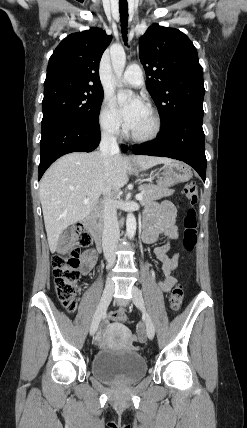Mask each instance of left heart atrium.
Returning a JSON list of instances; mask_svg holds the SVG:
<instances>
[{"mask_svg": "<svg viewBox=\"0 0 247 428\" xmlns=\"http://www.w3.org/2000/svg\"><path fill=\"white\" fill-rule=\"evenodd\" d=\"M146 110V103L138 96H131L126 102L119 105V114L129 129L137 124Z\"/></svg>", "mask_w": 247, "mask_h": 428, "instance_id": "1", "label": "left heart atrium"}]
</instances>
